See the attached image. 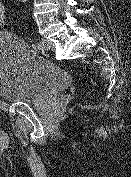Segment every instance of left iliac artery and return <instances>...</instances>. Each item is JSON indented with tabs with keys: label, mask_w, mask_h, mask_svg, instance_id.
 Masks as SVG:
<instances>
[{
	"label": "left iliac artery",
	"mask_w": 131,
	"mask_h": 177,
	"mask_svg": "<svg viewBox=\"0 0 131 177\" xmlns=\"http://www.w3.org/2000/svg\"><path fill=\"white\" fill-rule=\"evenodd\" d=\"M37 49L41 50L43 48V44L41 42L36 43Z\"/></svg>",
	"instance_id": "obj_1"
}]
</instances>
